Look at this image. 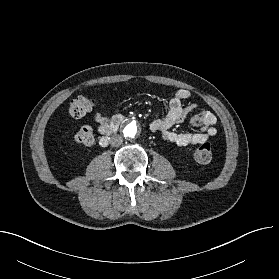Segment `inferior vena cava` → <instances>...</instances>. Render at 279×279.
Instances as JSON below:
<instances>
[{
  "label": "inferior vena cava",
  "instance_id": "602c4592",
  "mask_svg": "<svg viewBox=\"0 0 279 279\" xmlns=\"http://www.w3.org/2000/svg\"><path fill=\"white\" fill-rule=\"evenodd\" d=\"M122 142H123V138L119 135H115V136L111 137V139H110V144L112 146H116V147L120 146L122 144Z\"/></svg>",
  "mask_w": 279,
  "mask_h": 279
}]
</instances>
